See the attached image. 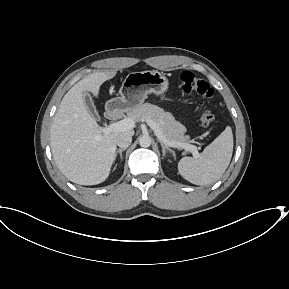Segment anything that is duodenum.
I'll list each match as a JSON object with an SVG mask.
<instances>
[{
    "instance_id": "obj_1",
    "label": "duodenum",
    "mask_w": 289,
    "mask_h": 289,
    "mask_svg": "<svg viewBox=\"0 0 289 289\" xmlns=\"http://www.w3.org/2000/svg\"><path fill=\"white\" fill-rule=\"evenodd\" d=\"M106 116L109 120H117L121 117V111L115 106H110L106 111Z\"/></svg>"
}]
</instances>
